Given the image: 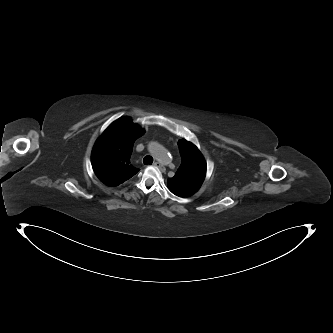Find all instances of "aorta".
<instances>
[{
    "instance_id": "1",
    "label": "aorta",
    "mask_w": 333,
    "mask_h": 333,
    "mask_svg": "<svg viewBox=\"0 0 333 333\" xmlns=\"http://www.w3.org/2000/svg\"><path fill=\"white\" fill-rule=\"evenodd\" d=\"M150 153L157 159L160 164H169L171 162V157L165 151V148L157 143L151 142L148 146Z\"/></svg>"
}]
</instances>
